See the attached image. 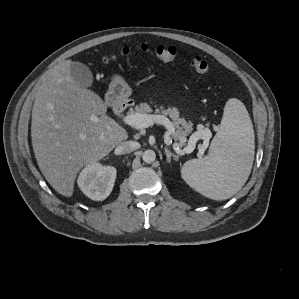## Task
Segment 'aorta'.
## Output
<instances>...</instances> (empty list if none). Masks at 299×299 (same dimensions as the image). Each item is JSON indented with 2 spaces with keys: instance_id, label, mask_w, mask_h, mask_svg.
<instances>
[{
  "instance_id": "obj_1",
  "label": "aorta",
  "mask_w": 299,
  "mask_h": 299,
  "mask_svg": "<svg viewBox=\"0 0 299 299\" xmlns=\"http://www.w3.org/2000/svg\"><path fill=\"white\" fill-rule=\"evenodd\" d=\"M142 159L145 163H152L155 161L156 159V153L153 151V150H145L143 153H142Z\"/></svg>"
}]
</instances>
